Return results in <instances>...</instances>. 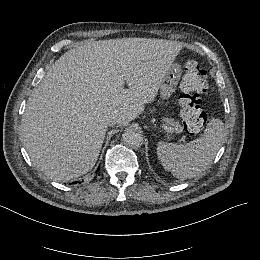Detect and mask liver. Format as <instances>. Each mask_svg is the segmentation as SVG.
<instances>
[{"label": "liver", "mask_w": 260, "mask_h": 260, "mask_svg": "<svg viewBox=\"0 0 260 260\" xmlns=\"http://www.w3.org/2000/svg\"><path fill=\"white\" fill-rule=\"evenodd\" d=\"M181 48L135 37L88 41L67 51L26 104L20 131L32 163L57 181L92 170L107 116L116 115L119 126L136 119L154 101Z\"/></svg>", "instance_id": "liver-1"}]
</instances>
